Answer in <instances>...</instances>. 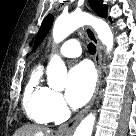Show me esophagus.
Wrapping results in <instances>:
<instances>
[{"mask_svg": "<svg viewBox=\"0 0 136 136\" xmlns=\"http://www.w3.org/2000/svg\"><path fill=\"white\" fill-rule=\"evenodd\" d=\"M85 31H86L88 38L96 46V54L94 56V63H95L97 73H98L96 89H95L94 95H93L91 101L89 102V104L81 112H79L74 118H72L70 121H68L67 123H65V124H63L59 127L60 133H71V132H73V130L76 128V126L81 121V119L90 111L91 107L94 104L96 96L98 94V90H99V86H100V82H101V77H102V46H101V43H100L96 33L94 32V30L91 27L87 26L85 28Z\"/></svg>", "mask_w": 136, "mask_h": 136, "instance_id": "1", "label": "esophagus"}]
</instances>
